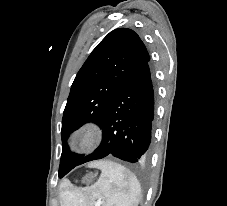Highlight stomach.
I'll return each mask as SVG.
<instances>
[{
  "instance_id": "obj_1",
  "label": "stomach",
  "mask_w": 227,
  "mask_h": 206,
  "mask_svg": "<svg viewBox=\"0 0 227 206\" xmlns=\"http://www.w3.org/2000/svg\"><path fill=\"white\" fill-rule=\"evenodd\" d=\"M93 179H94V175L88 174L82 179V182L83 183H91L93 181Z\"/></svg>"
}]
</instances>
